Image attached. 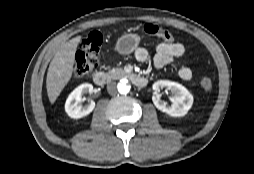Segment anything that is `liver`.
Returning <instances> with one entry per match:
<instances>
[{"mask_svg": "<svg viewBox=\"0 0 254 174\" xmlns=\"http://www.w3.org/2000/svg\"><path fill=\"white\" fill-rule=\"evenodd\" d=\"M81 36L72 38L55 53L47 72L46 88L49 101L53 104L70 81L75 62V52Z\"/></svg>", "mask_w": 254, "mask_h": 174, "instance_id": "6515ba94", "label": "liver"}]
</instances>
